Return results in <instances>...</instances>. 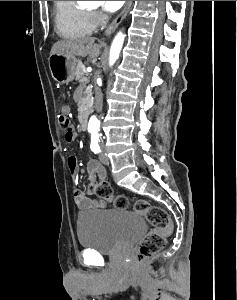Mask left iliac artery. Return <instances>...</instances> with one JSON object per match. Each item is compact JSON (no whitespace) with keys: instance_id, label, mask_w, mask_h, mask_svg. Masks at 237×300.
<instances>
[{"instance_id":"1","label":"left iliac artery","mask_w":237,"mask_h":300,"mask_svg":"<svg viewBox=\"0 0 237 300\" xmlns=\"http://www.w3.org/2000/svg\"><path fill=\"white\" fill-rule=\"evenodd\" d=\"M98 140H99L98 135L96 133H92L90 148L95 154L101 152L100 147L98 145Z\"/></svg>"}]
</instances>
